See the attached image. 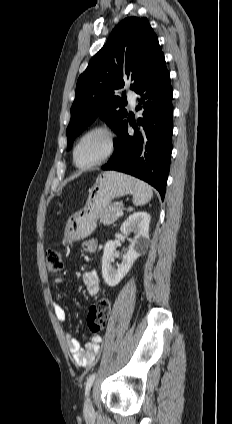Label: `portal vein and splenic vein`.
<instances>
[{
    "mask_svg": "<svg viewBox=\"0 0 232 424\" xmlns=\"http://www.w3.org/2000/svg\"><path fill=\"white\" fill-rule=\"evenodd\" d=\"M117 215H118V216H123V211H122V210H118V211H117Z\"/></svg>",
    "mask_w": 232,
    "mask_h": 424,
    "instance_id": "1",
    "label": "portal vein and splenic vein"
}]
</instances>
